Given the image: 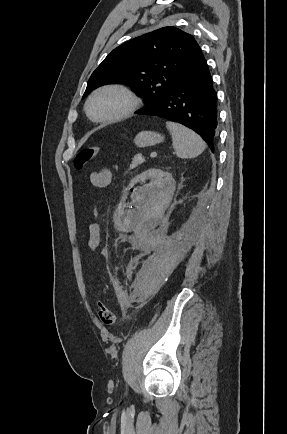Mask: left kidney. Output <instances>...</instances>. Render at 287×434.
I'll return each instance as SVG.
<instances>
[{
  "label": "left kidney",
  "instance_id": "1",
  "mask_svg": "<svg viewBox=\"0 0 287 434\" xmlns=\"http://www.w3.org/2000/svg\"><path fill=\"white\" fill-rule=\"evenodd\" d=\"M150 179V183L135 189L132 194L133 203L138 205L131 217H125V224H135L147 218L152 211L166 208L173 198L175 180L172 175L161 169H149L138 175L133 182H141ZM124 205L120 207L124 214Z\"/></svg>",
  "mask_w": 287,
  "mask_h": 434
}]
</instances>
